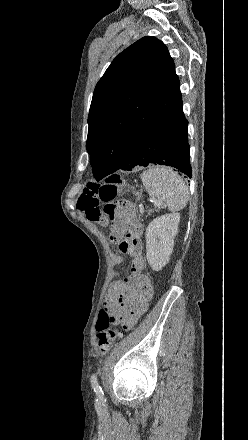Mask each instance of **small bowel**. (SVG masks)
Segmentation results:
<instances>
[{"label": "small bowel", "instance_id": "obj_1", "mask_svg": "<svg viewBox=\"0 0 248 440\" xmlns=\"http://www.w3.org/2000/svg\"><path fill=\"white\" fill-rule=\"evenodd\" d=\"M123 206L124 219L116 222L113 230L119 236L120 251L133 257L132 274L113 283L106 295L105 307L116 313V323L122 325L123 331H132L140 316L148 309L152 285L143 272L142 225L135 218L133 205L124 202ZM122 260L120 256L114 258L115 263H121Z\"/></svg>", "mask_w": 248, "mask_h": 440}]
</instances>
